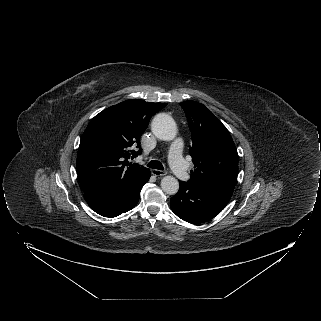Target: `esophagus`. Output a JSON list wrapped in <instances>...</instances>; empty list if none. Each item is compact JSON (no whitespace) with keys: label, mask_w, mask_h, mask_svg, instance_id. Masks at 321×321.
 Segmentation results:
<instances>
[{"label":"esophagus","mask_w":321,"mask_h":321,"mask_svg":"<svg viewBox=\"0 0 321 321\" xmlns=\"http://www.w3.org/2000/svg\"><path fill=\"white\" fill-rule=\"evenodd\" d=\"M152 174L155 176H165L167 174L166 171L158 170V169H153Z\"/></svg>","instance_id":"34e87169"}]
</instances>
